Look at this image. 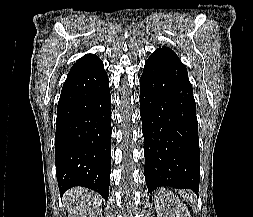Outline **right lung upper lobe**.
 Here are the masks:
<instances>
[{
    "label": "right lung upper lobe",
    "mask_w": 253,
    "mask_h": 217,
    "mask_svg": "<svg viewBox=\"0 0 253 217\" xmlns=\"http://www.w3.org/2000/svg\"><path fill=\"white\" fill-rule=\"evenodd\" d=\"M100 60L95 54H87L83 57H81L71 68L70 72L77 69V68H81L83 66L92 64L93 62H96Z\"/></svg>",
    "instance_id": "cb5924a9"
}]
</instances>
